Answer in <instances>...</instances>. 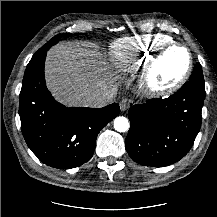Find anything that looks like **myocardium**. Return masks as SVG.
Wrapping results in <instances>:
<instances>
[{
    "label": "myocardium",
    "mask_w": 217,
    "mask_h": 217,
    "mask_svg": "<svg viewBox=\"0 0 217 217\" xmlns=\"http://www.w3.org/2000/svg\"><path fill=\"white\" fill-rule=\"evenodd\" d=\"M179 49L183 50L188 58L187 66L184 71L170 84L158 86L154 81V74L163 57L170 51ZM193 69V56L191 51L184 45L179 43H170L157 50L145 65L139 86L143 93L152 97H161L172 94L177 91L189 78Z\"/></svg>",
    "instance_id": "myocardium-1"
}]
</instances>
